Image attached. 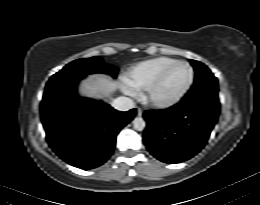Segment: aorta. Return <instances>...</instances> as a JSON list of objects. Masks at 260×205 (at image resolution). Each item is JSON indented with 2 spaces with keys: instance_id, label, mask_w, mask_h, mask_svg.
I'll use <instances>...</instances> for the list:
<instances>
[{
  "instance_id": "762f6f07",
  "label": "aorta",
  "mask_w": 260,
  "mask_h": 205,
  "mask_svg": "<svg viewBox=\"0 0 260 205\" xmlns=\"http://www.w3.org/2000/svg\"><path fill=\"white\" fill-rule=\"evenodd\" d=\"M133 126H134V129L137 130V131H142L144 130L145 126H146V123L144 121L143 118L141 117H136L134 120H133Z\"/></svg>"
}]
</instances>
